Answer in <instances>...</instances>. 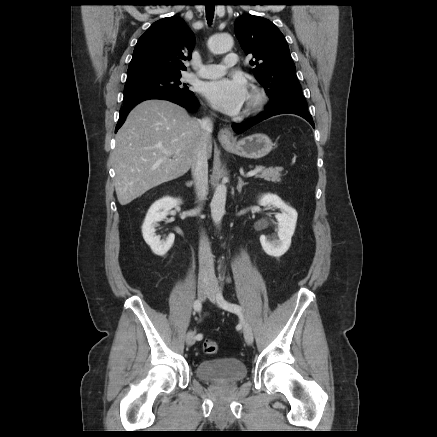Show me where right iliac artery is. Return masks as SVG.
Masks as SVG:
<instances>
[{
  "label": "right iliac artery",
  "mask_w": 437,
  "mask_h": 437,
  "mask_svg": "<svg viewBox=\"0 0 437 437\" xmlns=\"http://www.w3.org/2000/svg\"><path fill=\"white\" fill-rule=\"evenodd\" d=\"M193 307H194V310H195V311L200 312L201 309H202L201 301H200V300H196V301L194 302ZM195 338H196V340L200 341V340H202L203 335H202V334H197Z\"/></svg>",
  "instance_id": "right-iliac-artery-1"
}]
</instances>
